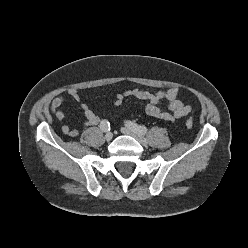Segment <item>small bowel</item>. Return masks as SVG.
<instances>
[{
    "mask_svg": "<svg viewBox=\"0 0 248 248\" xmlns=\"http://www.w3.org/2000/svg\"><path fill=\"white\" fill-rule=\"evenodd\" d=\"M67 93L75 101L81 100L78 89L70 88ZM178 95L179 90L176 87L157 92H151L144 89H130L124 93H118L115 96L114 105L120 106L126 97H134L138 100L147 102L145 110L149 116L173 122L191 112V106L186 104ZM163 101L166 102L167 111L161 108V103ZM64 102L65 98L63 96H56L50 105L51 111L58 121H62L65 118V113L62 109ZM80 107L84 114L83 124L85 126H95L101 122V117H99L87 104L82 103ZM61 130L63 134L70 137H77L79 135L78 129L71 128L68 125H63Z\"/></svg>",
    "mask_w": 248,
    "mask_h": 248,
    "instance_id": "c3829d8e",
    "label": "small bowel"
}]
</instances>
